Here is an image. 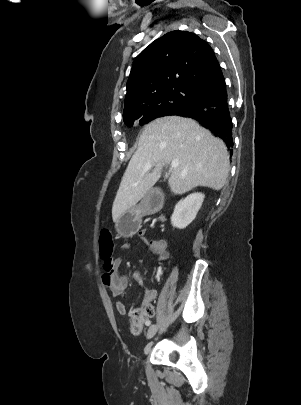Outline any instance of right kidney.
Instances as JSON below:
<instances>
[{
    "mask_svg": "<svg viewBox=\"0 0 301 405\" xmlns=\"http://www.w3.org/2000/svg\"><path fill=\"white\" fill-rule=\"evenodd\" d=\"M204 198L203 193H193L180 200L171 216L172 226L178 229L186 228L195 219Z\"/></svg>",
    "mask_w": 301,
    "mask_h": 405,
    "instance_id": "1",
    "label": "right kidney"
}]
</instances>
